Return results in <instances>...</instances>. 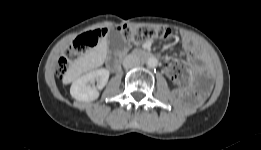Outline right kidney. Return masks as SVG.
<instances>
[{"label": "right kidney", "mask_w": 261, "mask_h": 150, "mask_svg": "<svg viewBox=\"0 0 261 150\" xmlns=\"http://www.w3.org/2000/svg\"><path fill=\"white\" fill-rule=\"evenodd\" d=\"M109 71L101 68L90 71L76 79L70 88V94L78 101L91 102L99 97L101 90L108 82ZM97 82V85H95Z\"/></svg>", "instance_id": "right-kidney-1"}]
</instances>
